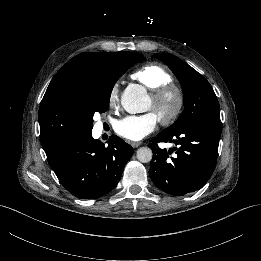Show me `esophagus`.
<instances>
[{"instance_id":"obj_1","label":"esophagus","mask_w":261,"mask_h":261,"mask_svg":"<svg viewBox=\"0 0 261 261\" xmlns=\"http://www.w3.org/2000/svg\"><path fill=\"white\" fill-rule=\"evenodd\" d=\"M131 145H132L133 148H137L141 145V142L140 141H134V142L131 143Z\"/></svg>"}]
</instances>
